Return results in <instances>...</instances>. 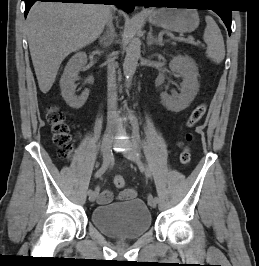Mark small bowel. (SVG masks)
<instances>
[{
  "label": "small bowel",
  "mask_w": 259,
  "mask_h": 266,
  "mask_svg": "<svg viewBox=\"0 0 259 266\" xmlns=\"http://www.w3.org/2000/svg\"><path fill=\"white\" fill-rule=\"evenodd\" d=\"M136 197V191L133 188H128L120 192L119 199L121 200H130ZM113 195L112 192L109 190L102 191L97 201L99 204H107L112 201Z\"/></svg>",
  "instance_id": "c3829d8e"
}]
</instances>
